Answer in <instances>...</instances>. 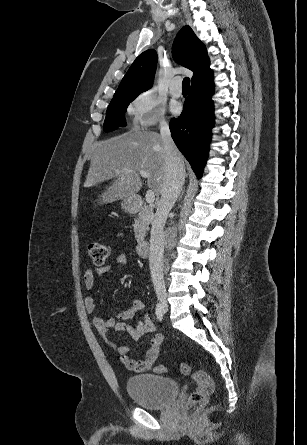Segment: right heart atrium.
Wrapping results in <instances>:
<instances>
[{
    "label": "right heart atrium",
    "mask_w": 307,
    "mask_h": 445,
    "mask_svg": "<svg viewBox=\"0 0 307 445\" xmlns=\"http://www.w3.org/2000/svg\"><path fill=\"white\" fill-rule=\"evenodd\" d=\"M165 104L153 90L147 89L136 99V112L133 123L137 127L150 128L164 123Z\"/></svg>",
    "instance_id": "1"
}]
</instances>
